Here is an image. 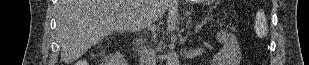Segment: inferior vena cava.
I'll list each match as a JSON object with an SVG mask.
<instances>
[{"label": "inferior vena cava", "instance_id": "obj_1", "mask_svg": "<svg viewBox=\"0 0 309 65\" xmlns=\"http://www.w3.org/2000/svg\"><path fill=\"white\" fill-rule=\"evenodd\" d=\"M145 42L141 43L140 48V65H156V55L150 45H145ZM147 44V42H146Z\"/></svg>", "mask_w": 309, "mask_h": 65}]
</instances>
